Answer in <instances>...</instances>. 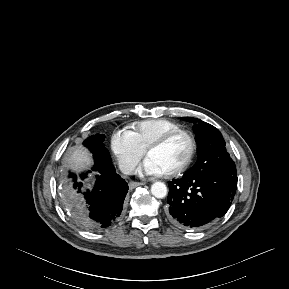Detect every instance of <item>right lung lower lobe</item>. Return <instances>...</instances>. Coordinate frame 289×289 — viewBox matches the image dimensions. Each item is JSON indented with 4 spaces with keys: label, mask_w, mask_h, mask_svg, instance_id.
Masks as SVG:
<instances>
[{
    "label": "right lung lower lobe",
    "mask_w": 289,
    "mask_h": 289,
    "mask_svg": "<svg viewBox=\"0 0 289 289\" xmlns=\"http://www.w3.org/2000/svg\"><path fill=\"white\" fill-rule=\"evenodd\" d=\"M95 165L92 170L97 171L100 176L92 191L84 193V201L73 199L74 208L83 226L89 229L106 228L117 221L122 213L124 199L128 192V184L120 175L115 173L110 155L101 152H92ZM86 173L82 178L86 177ZM73 178L74 188H80L77 176L70 174Z\"/></svg>",
    "instance_id": "1"
}]
</instances>
